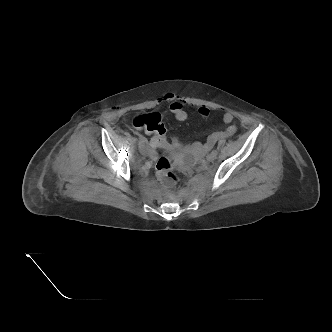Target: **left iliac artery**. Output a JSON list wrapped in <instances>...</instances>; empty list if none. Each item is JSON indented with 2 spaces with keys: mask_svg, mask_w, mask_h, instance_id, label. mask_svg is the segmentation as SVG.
Wrapping results in <instances>:
<instances>
[{
  "mask_svg": "<svg viewBox=\"0 0 332 332\" xmlns=\"http://www.w3.org/2000/svg\"><path fill=\"white\" fill-rule=\"evenodd\" d=\"M213 155H217V151L216 150H213L212 152H211Z\"/></svg>",
  "mask_w": 332,
  "mask_h": 332,
  "instance_id": "left-iliac-artery-1",
  "label": "left iliac artery"
}]
</instances>
